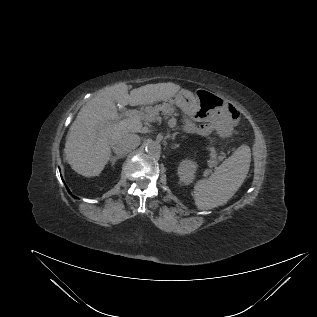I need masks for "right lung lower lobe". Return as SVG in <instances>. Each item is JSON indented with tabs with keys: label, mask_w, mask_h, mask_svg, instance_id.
<instances>
[{
	"label": "right lung lower lobe",
	"mask_w": 317,
	"mask_h": 317,
	"mask_svg": "<svg viewBox=\"0 0 317 317\" xmlns=\"http://www.w3.org/2000/svg\"><path fill=\"white\" fill-rule=\"evenodd\" d=\"M67 188V187H66ZM67 190L69 191V189L67 188ZM69 193H70V191H69ZM71 194V193H70ZM73 197H75V196H73ZM76 198V197H75Z\"/></svg>",
	"instance_id": "98d812e1"
}]
</instances>
